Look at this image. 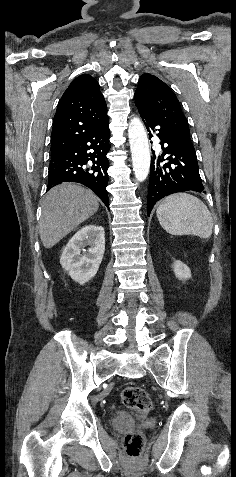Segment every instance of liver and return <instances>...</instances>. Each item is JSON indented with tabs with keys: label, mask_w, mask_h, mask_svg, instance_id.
<instances>
[{
	"label": "liver",
	"mask_w": 236,
	"mask_h": 477,
	"mask_svg": "<svg viewBox=\"0 0 236 477\" xmlns=\"http://www.w3.org/2000/svg\"><path fill=\"white\" fill-rule=\"evenodd\" d=\"M98 208V197L80 185L63 183L52 188L42 204L39 234L43 246L52 248Z\"/></svg>",
	"instance_id": "1"
}]
</instances>
